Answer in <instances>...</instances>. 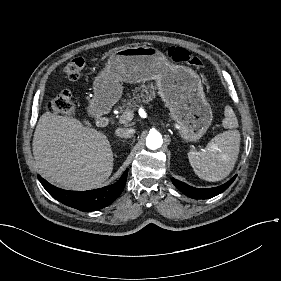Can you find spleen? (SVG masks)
I'll return each instance as SVG.
<instances>
[{"mask_svg": "<svg viewBox=\"0 0 281 281\" xmlns=\"http://www.w3.org/2000/svg\"><path fill=\"white\" fill-rule=\"evenodd\" d=\"M222 126L226 129L216 135L205 151L189 152V161L195 173L208 182H218L229 176L237 163L241 135L237 130L239 121L233 108L227 104Z\"/></svg>", "mask_w": 281, "mask_h": 281, "instance_id": "3e777b00", "label": "spleen"}]
</instances>
